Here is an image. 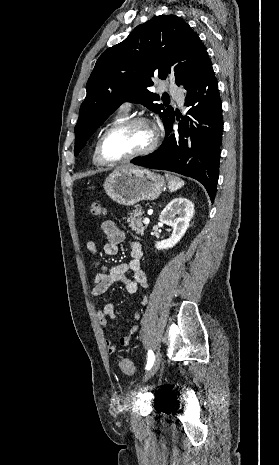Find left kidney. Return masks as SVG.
Masks as SVG:
<instances>
[{
  "mask_svg": "<svg viewBox=\"0 0 279 465\" xmlns=\"http://www.w3.org/2000/svg\"><path fill=\"white\" fill-rule=\"evenodd\" d=\"M194 215V204L187 198L178 197L171 200L159 216L161 223L171 226L173 229L170 238L156 242L157 250L174 247L184 236L189 228L190 221Z\"/></svg>",
  "mask_w": 279,
  "mask_h": 465,
  "instance_id": "obj_1",
  "label": "left kidney"
}]
</instances>
